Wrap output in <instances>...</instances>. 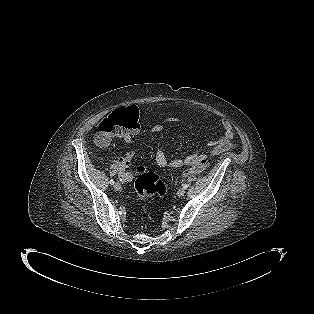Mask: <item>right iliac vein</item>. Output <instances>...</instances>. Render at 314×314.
<instances>
[{"instance_id": "obj_1", "label": "right iliac vein", "mask_w": 314, "mask_h": 314, "mask_svg": "<svg viewBox=\"0 0 314 314\" xmlns=\"http://www.w3.org/2000/svg\"><path fill=\"white\" fill-rule=\"evenodd\" d=\"M114 189H115L116 191H119V190L121 189V184L118 183V182H116V183L114 184Z\"/></svg>"}]
</instances>
